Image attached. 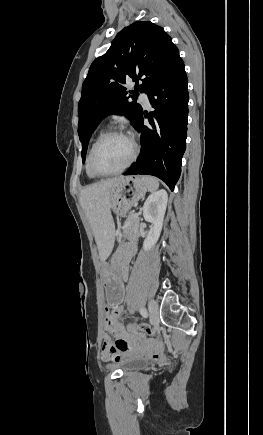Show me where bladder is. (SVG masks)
Here are the masks:
<instances>
[{
    "label": "bladder",
    "instance_id": "bladder-1",
    "mask_svg": "<svg viewBox=\"0 0 263 435\" xmlns=\"http://www.w3.org/2000/svg\"><path fill=\"white\" fill-rule=\"evenodd\" d=\"M146 363H147V360L143 357L128 356L119 363V366L124 371H131V370H135V369H138V368L144 366Z\"/></svg>",
    "mask_w": 263,
    "mask_h": 435
}]
</instances>
